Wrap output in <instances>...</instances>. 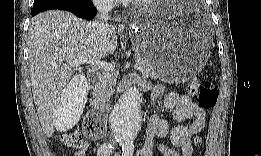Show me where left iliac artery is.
<instances>
[{
  "instance_id": "obj_1",
  "label": "left iliac artery",
  "mask_w": 261,
  "mask_h": 156,
  "mask_svg": "<svg viewBox=\"0 0 261 156\" xmlns=\"http://www.w3.org/2000/svg\"><path fill=\"white\" fill-rule=\"evenodd\" d=\"M120 146L122 147V156H131L134 152L133 140L129 138L120 139Z\"/></svg>"
}]
</instances>
